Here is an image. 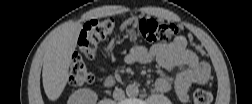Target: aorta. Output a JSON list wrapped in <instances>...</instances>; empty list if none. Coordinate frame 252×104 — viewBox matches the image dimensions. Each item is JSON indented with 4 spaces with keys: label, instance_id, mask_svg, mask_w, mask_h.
<instances>
[{
    "label": "aorta",
    "instance_id": "obj_1",
    "mask_svg": "<svg viewBox=\"0 0 252 104\" xmlns=\"http://www.w3.org/2000/svg\"><path fill=\"white\" fill-rule=\"evenodd\" d=\"M126 94L128 97H136L139 94V88L136 84H129L126 87Z\"/></svg>",
    "mask_w": 252,
    "mask_h": 104
}]
</instances>
